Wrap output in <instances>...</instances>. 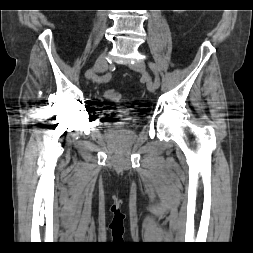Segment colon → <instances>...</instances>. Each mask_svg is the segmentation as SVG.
<instances>
[{"label": "colon", "instance_id": "5ec220e1", "mask_svg": "<svg viewBox=\"0 0 253 253\" xmlns=\"http://www.w3.org/2000/svg\"><path fill=\"white\" fill-rule=\"evenodd\" d=\"M104 96L110 100H120L121 94L112 88H108L104 92Z\"/></svg>", "mask_w": 253, "mask_h": 253}]
</instances>
